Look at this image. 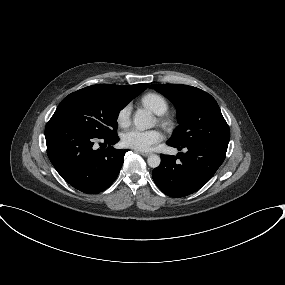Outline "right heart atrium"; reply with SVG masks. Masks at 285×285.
Wrapping results in <instances>:
<instances>
[{"instance_id":"obj_1","label":"right heart atrium","mask_w":285,"mask_h":285,"mask_svg":"<svg viewBox=\"0 0 285 285\" xmlns=\"http://www.w3.org/2000/svg\"><path fill=\"white\" fill-rule=\"evenodd\" d=\"M132 107L130 104L124 105L117 114V123L121 127H126L130 123Z\"/></svg>"}]
</instances>
